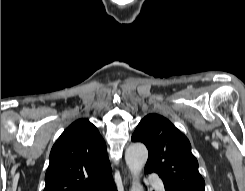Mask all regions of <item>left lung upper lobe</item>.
<instances>
[{"label":"left lung upper lobe","mask_w":245,"mask_h":191,"mask_svg":"<svg viewBox=\"0 0 245 191\" xmlns=\"http://www.w3.org/2000/svg\"><path fill=\"white\" fill-rule=\"evenodd\" d=\"M131 139L146 145L149 157L145 173H157L165 188L205 191V181L199 173L188 138L167 118L148 114L138 124Z\"/></svg>","instance_id":"1"}]
</instances>
